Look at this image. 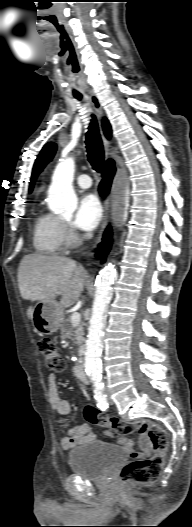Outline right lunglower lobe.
<instances>
[{
	"label": "right lung lower lobe",
	"instance_id": "1",
	"mask_svg": "<svg viewBox=\"0 0 192 527\" xmlns=\"http://www.w3.org/2000/svg\"><path fill=\"white\" fill-rule=\"evenodd\" d=\"M114 173H115L114 162L112 160L107 161L102 171L103 180L99 186V191L103 197H105L109 192ZM111 241H112V230L110 227H108L104 233L103 241L99 244V248L97 249V254H98L97 257L101 258L102 262L105 261V256L108 254L110 250Z\"/></svg>",
	"mask_w": 192,
	"mask_h": 527
}]
</instances>
